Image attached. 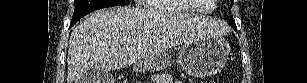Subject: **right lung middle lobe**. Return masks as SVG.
Here are the masks:
<instances>
[{"label":"right lung middle lobe","mask_w":307,"mask_h":83,"mask_svg":"<svg viewBox=\"0 0 307 83\" xmlns=\"http://www.w3.org/2000/svg\"><path fill=\"white\" fill-rule=\"evenodd\" d=\"M118 5H125V0H75V10L71 26L91 11Z\"/></svg>","instance_id":"right-lung-middle-lobe-1"}]
</instances>
